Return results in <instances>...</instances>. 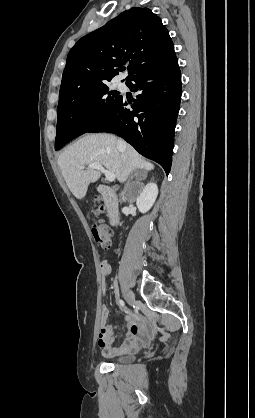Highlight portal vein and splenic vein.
I'll return each instance as SVG.
<instances>
[{
    "instance_id": "1",
    "label": "portal vein and splenic vein",
    "mask_w": 255,
    "mask_h": 418,
    "mask_svg": "<svg viewBox=\"0 0 255 418\" xmlns=\"http://www.w3.org/2000/svg\"><path fill=\"white\" fill-rule=\"evenodd\" d=\"M84 168L85 167H80V169H84ZM87 168L88 169H96V170L101 171L102 173H104L106 180L109 181V182H113L115 180V174L113 172H110V171L104 169V167L99 163L89 164L87 166Z\"/></svg>"
}]
</instances>
